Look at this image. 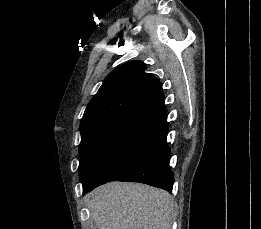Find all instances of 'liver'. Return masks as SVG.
Here are the masks:
<instances>
[{"label": "liver", "instance_id": "liver-1", "mask_svg": "<svg viewBox=\"0 0 261 229\" xmlns=\"http://www.w3.org/2000/svg\"><path fill=\"white\" fill-rule=\"evenodd\" d=\"M97 229H171L175 215L167 191L139 183H107L90 195Z\"/></svg>", "mask_w": 261, "mask_h": 229}]
</instances>
